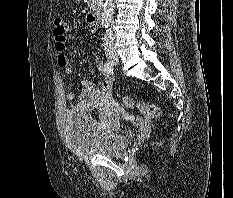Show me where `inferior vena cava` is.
Here are the masks:
<instances>
[{"instance_id":"obj_1","label":"inferior vena cava","mask_w":233,"mask_h":198,"mask_svg":"<svg viewBox=\"0 0 233 198\" xmlns=\"http://www.w3.org/2000/svg\"><path fill=\"white\" fill-rule=\"evenodd\" d=\"M103 42H104V50L106 52L114 51L116 49L114 35L110 28L106 29L103 37Z\"/></svg>"}]
</instances>
